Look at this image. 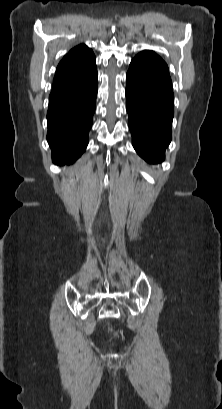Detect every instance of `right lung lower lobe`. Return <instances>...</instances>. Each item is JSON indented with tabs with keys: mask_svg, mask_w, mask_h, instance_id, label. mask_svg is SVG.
<instances>
[{
	"mask_svg": "<svg viewBox=\"0 0 222 409\" xmlns=\"http://www.w3.org/2000/svg\"><path fill=\"white\" fill-rule=\"evenodd\" d=\"M97 69L89 74L72 75L81 82L79 89L49 97L47 141L55 164L75 162L88 145L97 96Z\"/></svg>",
	"mask_w": 222,
	"mask_h": 409,
	"instance_id": "1",
	"label": "right lung lower lobe"
}]
</instances>
